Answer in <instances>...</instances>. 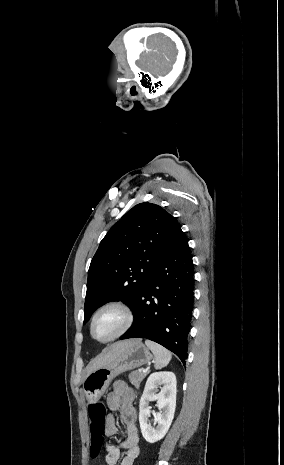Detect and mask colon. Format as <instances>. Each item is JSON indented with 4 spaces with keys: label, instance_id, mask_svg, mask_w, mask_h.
<instances>
[{
    "label": "colon",
    "instance_id": "colon-1",
    "mask_svg": "<svg viewBox=\"0 0 284 465\" xmlns=\"http://www.w3.org/2000/svg\"><path fill=\"white\" fill-rule=\"evenodd\" d=\"M104 411V406L102 403L99 404H90L88 406L89 423H88V436L91 438L90 446L87 448L88 455H91V460L95 461L100 453V448H104L105 441L101 438H106L109 424L106 421V413H100Z\"/></svg>",
    "mask_w": 284,
    "mask_h": 465
}]
</instances>
